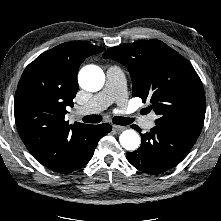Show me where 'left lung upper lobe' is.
I'll return each instance as SVG.
<instances>
[{"mask_svg": "<svg viewBox=\"0 0 221 221\" xmlns=\"http://www.w3.org/2000/svg\"><path fill=\"white\" fill-rule=\"evenodd\" d=\"M125 65L134 97L150 99L158 127L198 138L205 117L202 82L192 65L159 40L136 41L111 47L103 54Z\"/></svg>", "mask_w": 221, "mask_h": 221, "instance_id": "left-lung-upper-lobe-1", "label": "left lung upper lobe"}]
</instances>
